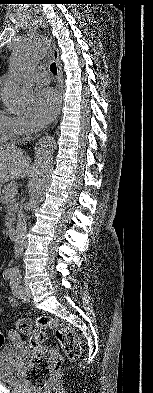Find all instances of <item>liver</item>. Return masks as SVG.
Here are the masks:
<instances>
[{
    "instance_id": "obj_1",
    "label": "liver",
    "mask_w": 153,
    "mask_h": 393,
    "mask_svg": "<svg viewBox=\"0 0 153 393\" xmlns=\"http://www.w3.org/2000/svg\"><path fill=\"white\" fill-rule=\"evenodd\" d=\"M30 172V158L14 144L0 145V188L10 180L25 178Z\"/></svg>"
}]
</instances>
